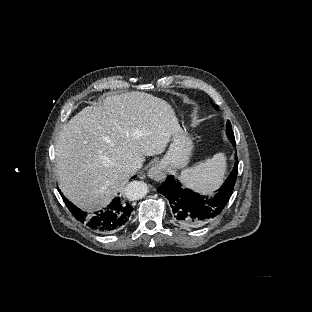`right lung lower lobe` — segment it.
Masks as SVG:
<instances>
[{
	"label": "right lung lower lobe",
	"mask_w": 312,
	"mask_h": 312,
	"mask_svg": "<svg viewBox=\"0 0 312 312\" xmlns=\"http://www.w3.org/2000/svg\"><path fill=\"white\" fill-rule=\"evenodd\" d=\"M60 194L72 215L86 227L100 234H111L119 231L128 223L133 211V207L128 201L116 197L107 208L95 212L92 216L67 201L61 192Z\"/></svg>",
	"instance_id": "1"
}]
</instances>
